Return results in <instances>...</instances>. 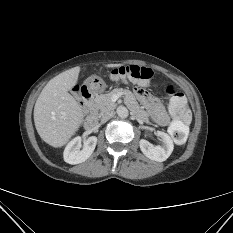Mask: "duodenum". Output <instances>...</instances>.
I'll return each mask as SVG.
<instances>
[{
    "label": "duodenum",
    "instance_id": "410a0bca",
    "mask_svg": "<svg viewBox=\"0 0 233 233\" xmlns=\"http://www.w3.org/2000/svg\"><path fill=\"white\" fill-rule=\"evenodd\" d=\"M81 96L90 110L86 119V126L91 128L97 123L98 120V113L95 107L94 91L90 87L84 86L81 89Z\"/></svg>",
    "mask_w": 233,
    "mask_h": 233
}]
</instances>
